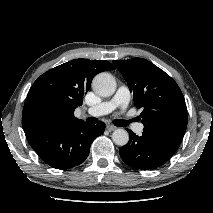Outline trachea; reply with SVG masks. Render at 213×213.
I'll list each match as a JSON object with an SVG mask.
<instances>
[{
	"mask_svg": "<svg viewBox=\"0 0 213 213\" xmlns=\"http://www.w3.org/2000/svg\"><path fill=\"white\" fill-rule=\"evenodd\" d=\"M87 122L90 124H96L97 119L94 117H89L87 119ZM129 124V121L126 120H122V119H116L114 120V125L118 126V127H126Z\"/></svg>",
	"mask_w": 213,
	"mask_h": 213,
	"instance_id": "1",
	"label": "trachea"
}]
</instances>
